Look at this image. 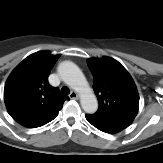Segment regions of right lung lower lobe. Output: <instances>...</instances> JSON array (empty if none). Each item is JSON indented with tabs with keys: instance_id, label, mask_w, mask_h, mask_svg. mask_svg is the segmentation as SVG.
<instances>
[{
	"instance_id": "98d812e1",
	"label": "right lung lower lobe",
	"mask_w": 163,
	"mask_h": 163,
	"mask_svg": "<svg viewBox=\"0 0 163 163\" xmlns=\"http://www.w3.org/2000/svg\"><path fill=\"white\" fill-rule=\"evenodd\" d=\"M58 115V114H57ZM56 116L50 118V119H47V120H40V121H28V122H24V123H20L21 125L25 126V127H29V128H35V127H40V126H43L47 123H49L50 121H52L53 119H55Z\"/></svg>"
}]
</instances>
